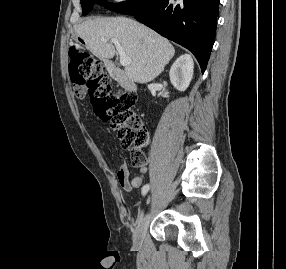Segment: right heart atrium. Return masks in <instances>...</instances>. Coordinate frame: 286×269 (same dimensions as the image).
I'll return each instance as SVG.
<instances>
[{"label":"right heart atrium","mask_w":286,"mask_h":269,"mask_svg":"<svg viewBox=\"0 0 286 269\" xmlns=\"http://www.w3.org/2000/svg\"><path fill=\"white\" fill-rule=\"evenodd\" d=\"M124 1H126V0H114V2H116V3H122Z\"/></svg>","instance_id":"right-heart-atrium-1"}]
</instances>
